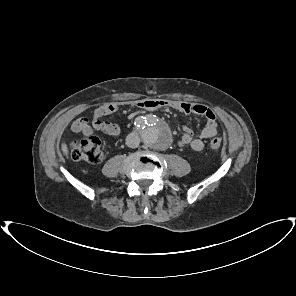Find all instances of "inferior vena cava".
<instances>
[{
    "label": "inferior vena cava",
    "mask_w": 296,
    "mask_h": 296,
    "mask_svg": "<svg viewBox=\"0 0 296 296\" xmlns=\"http://www.w3.org/2000/svg\"><path fill=\"white\" fill-rule=\"evenodd\" d=\"M140 144L139 135L136 132H131L126 137V145L129 148H137Z\"/></svg>",
    "instance_id": "inferior-vena-cava-1"
}]
</instances>
